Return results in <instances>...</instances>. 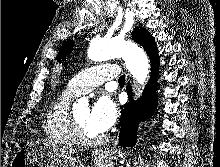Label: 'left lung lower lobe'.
Wrapping results in <instances>:
<instances>
[{
	"instance_id": "left-lung-lower-lobe-1",
	"label": "left lung lower lobe",
	"mask_w": 220,
	"mask_h": 167,
	"mask_svg": "<svg viewBox=\"0 0 220 167\" xmlns=\"http://www.w3.org/2000/svg\"><path fill=\"white\" fill-rule=\"evenodd\" d=\"M149 57L152 65L151 80L145 87L141 100L137 104L130 102L122 111L119 141L123 147H130L135 144L138 121L152 116L156 107L155 90L157 87L156 78L159 60L157 53L150 54ZM127 93L131 99L132 93L129 85L127 86Z\"/></svg>"
}]
</instances>
